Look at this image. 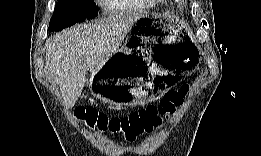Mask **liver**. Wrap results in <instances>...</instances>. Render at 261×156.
<instances>
[{"label":"liver","instance_id":"1","mask_svg":"<svg viewBox=\"0 0 261 156\" xmlns=\"http://www.w3.org/2000/svg\"><path fill=\"white\" fill-rule=\"evenodd\" d=\"M139 15L111 16L57 33L46 43V68L59 85L63 104L72 108L91 74L117 53Z\"/></svg>","mask_w":261,"mask_h":156}]
</instances>
